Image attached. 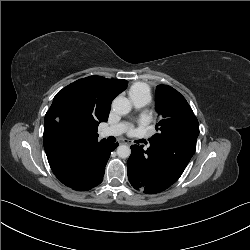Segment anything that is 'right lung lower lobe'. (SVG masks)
Returning <instances> with one entry per match:
<instances>
[{"label": "right lung lower lobe", "instance_id": "1", "mask_svg": "<svg viewBox=\"0 0 250 250\" xmlns=\"http://www.w3.org/2000/svg\"><path fill=\"white\" fill-rule=\"evenodd\" d=\"M117 146L118 143H109L105 139L93 143L75 156L70 173L58 179L66 186L78 191H87L96 187L102 182L110 153Z\"/></svg>", "mask_w": 250, "mask_h": 250}]
</instances>
